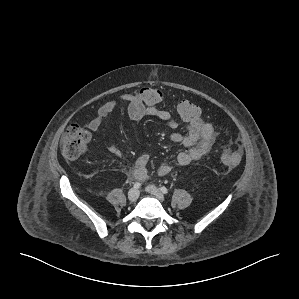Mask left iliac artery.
<instances>
[{
    "instance_id": "obj_1",
    "label": "left iliac artery",
    "mask_w": 299,
    "mask_h": 299,
    "mask_svg": "<svg viewBox=\"0 0 299 299\" xmlns=\"http://www.w3.org/2000/svg\"><path fill=\"white\" fill-rule=\"evenodd\" d=\"M160 190H161V192L164 193V194H167V193H168V189H167L166 187H164V186L161 187Z\"/></svg>"
}]
</instances>
